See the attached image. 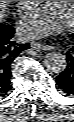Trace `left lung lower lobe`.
Segmentation results:
<instances>
[{
  "mask_svg": "<svg viewBox=\"0 0 74 122\" xmlns=\"http://www.w3.org/2000/svg\"><path fill=\"white\" fill-rule=\"evenodd\" d=\"M74 38V33L72 34ZM67 67L56 77L58 89L67 95H74V46L66 54Z\"/></svg>",
  "mask_w": 74,
  "mask_h": 122,
  "instance_id": "0a47b994",
  "label": "left lung lower lobe"
}]
</instances>
